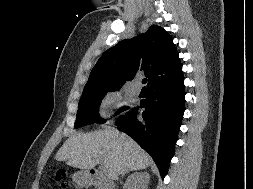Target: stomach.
Returning a JSON list of instances; mask_svg holds the SVG:
<instances>
[{"instance_id":"0dacf381","label":"stomach","mask_w":253,"mask_h":189,"mask_svg":"<svg viewBox=\"0 0 253 189\" xmlns=\"http://www.w3.org/2000/svg\"><path fill=\"white\" fill-rule=\"evenodd\" d=\"M73 181L77 184L83 185L88 184L90 180L88 179V176L85 172L79 171L73 175Z\"/></svg>"}]
</instances>
